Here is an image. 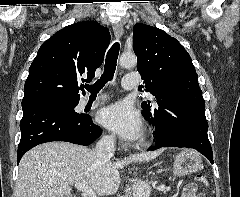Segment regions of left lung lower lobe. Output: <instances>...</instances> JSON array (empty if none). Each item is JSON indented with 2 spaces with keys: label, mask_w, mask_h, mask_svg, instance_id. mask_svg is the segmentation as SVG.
<instances>
[{
  "label": "left lung lower lobe",
  "mask_w": 240,
  "mask_h": 197,
  "mask_svg": "<svg viewBox=\"0 0 240 197\" xmlns=\"http://www.w3.org/2000/svg\"><path fill=\"white\" fill-rule=\"evenodd\" d=\"M146 119L155 128L153 134L156 144L150 150L161 147L193 148L213 164L204 99L195 96L184 97L174 108L158 110Z\"/></svg>",
  "instance_id": "1"
}]
</instances>
